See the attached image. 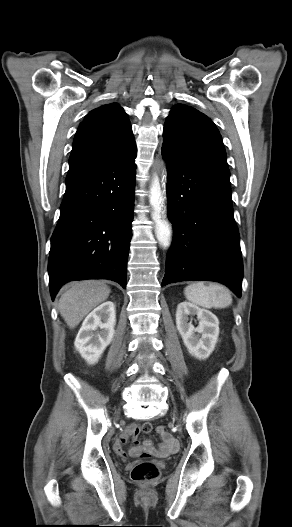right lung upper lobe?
<instances>
[{"label": "right lung upper lobe", "instance_id": "right-lung-upper-lobe-1", "mask_svg": "<svg viewBox=\"0 0 292 527\" xmlns=\"http://www.w3.org/2000/svg\"><path fill=\"white\" fill-rule=\"evenodd\" d=\"M136 151L127 114L117 103L92 110L80 124L69 164L112 160Z\"/></svg>", "mask_w": 292, "mask_h": 527}]
</instances>
